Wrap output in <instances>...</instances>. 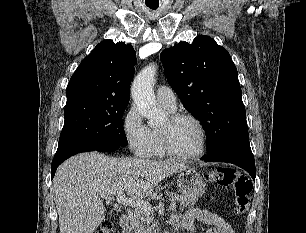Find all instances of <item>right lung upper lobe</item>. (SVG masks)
<instances>
[{"label": "right lung upper lobe", "mask_w": 306, "mask_h": 233, "mask_svg": "<svg viewBox=\"0 0 306 233\" xmlns=\"http://www.w3.org/2000/svg\"><path fill=\"white\" fill-rule=\"evenodd\" d=\"M136 52L104 40L80 63L67 86V103L80 99L129 103Z\"/></svg>", "instance_id": "cb5924a9"}]
</instances>
